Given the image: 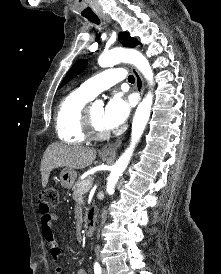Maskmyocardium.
Here are the masks:
<instances>
[{
	"mask_svg": "<svg viewBox=\"0 0 221 274\" xmlns=\"http://www.w3.org/2000/svg\"><path fill=\"white\" fill-rule=\"evenodd\" d=\"M91 107L87 106L84 111L83 123L84 129L89 138L92 139H104L108 136V133L105 130L100 129L93 121L91 116Z\"/></svg>",
	"mask_w": 221,
	"mask_h": 274,
	"instance_id": "myocardium-1",
	"label": "myocardium"
}]
</instances>
